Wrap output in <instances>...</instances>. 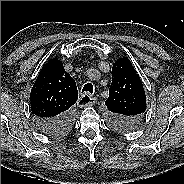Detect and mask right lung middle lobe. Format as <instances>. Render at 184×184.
<instances>
[{
  "label": "right lung middle lobe",
  "instance_id": "dd1d6c3e",
  "mask_svg": "<svg viewBox=\"0 0 184 184\" xmlns=\"http://www.w3.org/2000/svg\"><path fill=\"white\" fill-rule=\"evenodd\" d=\"M71 126H72L71 124L68 125L67 127L64 128V130H62V131H60L58 133H55L52 136H61V135L66 134L71 129Z\"/></svg>",
  "mask_w": 184,
  "mask_h": 184
}]
</instances>
